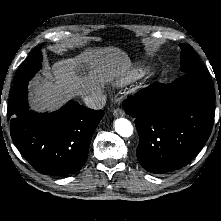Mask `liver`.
I'll use <instances>...</instances> for the list:
<instances>
[{"mask_svg":"<svg viewBox=\"0 0 221 221\" xmlns=\"http://www.w3.org/2000/svg\"><path fill=\"white\" fill-rule=\"evenodd\" d=\"M131 68L127 54L116 47L86 49L74 58L55 62L45 77L30 85L31 105L52 111L73 96L100 92L104 84L124 76Z\"/></svg>","mask_w":221,"mask_h":221,"instance_id":"obj_1","label":"liver"}]
</instances>
